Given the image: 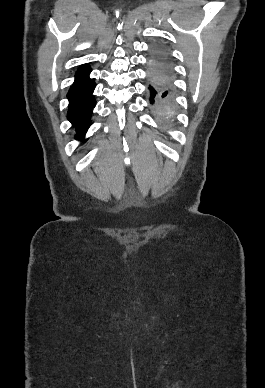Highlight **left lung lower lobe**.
Wrapping results in <instances>:
<instances>
[{"mask_svg": "<svg viewBox=\"0 0 265 388\" xmlns=\"http://www.w3.org/2000/svg\"><path fill=\"white\" fill-rule=\"evenodd\" d=\"M148 90L150 93V104H152L156 116L162 123H169L174 113L173 75L151 64Z\"/></svg>", "mask_w": 265, "mask_h": 388, "instance_id": "left-lung-lower-lobe-1", "label": "left lung lower lobe"}]
</instances>
